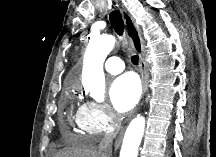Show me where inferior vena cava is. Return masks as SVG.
<instances>
[{
	"mask_svg": "<svg viewBox=\"0 0 216 157\" xmlns=\"http://www.w3.org/2000/svg\"><path fill=\"white\" fill-rule=\"evenodd\" d=\"M114 135L111 133H108L105 135V137L102 139L98 146V152L100 157H109L112 150V142H113Z\"/></svg>",
	"mask_w": 216,
	"mask_h": 157,
	"instance_id": "inferior-vena-cava-1",
	"label": "inferior vena cava"
}]
</instances>
